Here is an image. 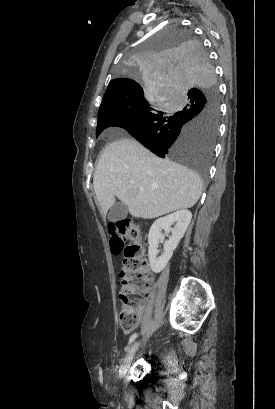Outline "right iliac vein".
<instances>
[{
    "instance_id": "63e3f726",
    "label": "right iliac vein",
    "mask_w": 275,
    "mask_h": 409,
    "mask_svg": "<svg viewBox=\"0 0 275 409\" xmlns=\"http://www.w3.org/2000/svg\"><path fill=\"white\" fill-rule=\"evenodd\" d=\"M138 347H139V343L136 342L128 350V353H127V355H126V357H125V359H124V361H123V363H122V365L120 367L119 374H120L121 378L125 377V374H126L128 368L130 367L131 361H132L133 356L135 355V352L137 351Z\"/></svg>"
}]
</instances>
